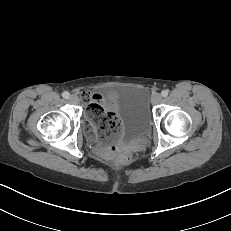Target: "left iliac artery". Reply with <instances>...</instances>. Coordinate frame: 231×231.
I'll list each match as a JSON object with an SVG mask.
<instances>
[{
  "label": "left iliac artery",
  "mask_w": 231,
  "mask_h": 231,
  "mask_svg": "<svg viewBox=\"0 0 231 231\" xmlns=\"http://www.w3.org/2000/svg\"><path fill=\"white\" fill-rule=\"evenodd\" d=\"M168 94H169V91H168V90H163V91L161 92L162 97H167Z\"/></svg>",
  "instance_id": "1"
}]
</instances>
